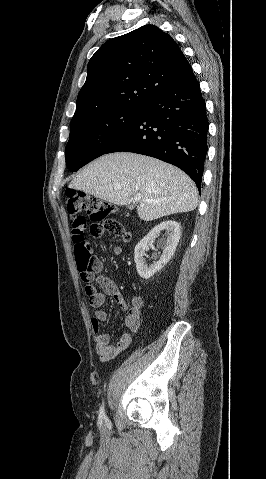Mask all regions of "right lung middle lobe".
I'll return each mask as SVG.
<instances>
[{
  "instance_id": "right-lung-middle-lobe-1",
  "label": "right lung middle lobe",
  "mask_w": 266,
  "mask_h": 479,
  "mask_svg": "<svg viewBox=\"0 0 266 479\" xmlns=\"http://www.w3.org/2000/svg\"><path fill=\"white\" fill-rule=\"evenodd\" d=\"M142 108H121L71 121L66 164L75 172L104 154L141 115Z\"/></svg>"
}]
</instances>
